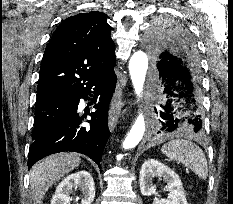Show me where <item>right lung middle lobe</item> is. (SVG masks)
I'll return each mask as SVG.
<instances>
[{
	"label": "right lung middle lobe",
	"instance_id": "obj_1",
	"mask_svg": "<svg viewBox=\"0 0 233 204\" xmlns=\"http://www.w3.org/2000/svg\"><path fill=\"white\" fill-rule=\"evenodd\" d=\"M67 95L52 96L37 102L32 139L44 136L68 115Z\"/></svg>",
	"mask_w": 233,
	"mask_h": 204
}]
</instances>
